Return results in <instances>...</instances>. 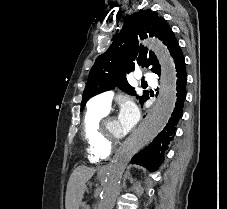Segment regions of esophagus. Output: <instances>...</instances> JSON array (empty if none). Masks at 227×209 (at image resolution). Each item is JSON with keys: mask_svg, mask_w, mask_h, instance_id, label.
Returning a JSON list of instances; mask_svg holds the SVG:
<instances>
[{"mask_svg": "<svg viewBox=\"0 0 227 209\" xmlns=\"http://www.w3.org/2000/svg\"><path fill=\"white\" fill-rule=\"evenodd\" d=\"M151 113H153V108H146V112H144L143 120L140 121H150ZM118 163H121V160H118ZM111 170L110 166H105L104 169H101L100 172L96 173L97 177H106L109 171Z\"/></svg>", "mask_w": 227, "mask_h": 209, "instance_id": "esophagus-1", "label": "esophagus"}]
</instances>
